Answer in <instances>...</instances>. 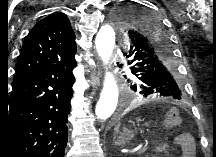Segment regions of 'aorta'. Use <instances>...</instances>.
<instances>
[{"mask_svg":"<svg viewBox=\"0 0 216 157\" xmlns=\"http://www.w3.org/2000/svg\"><path fill=\"white\" fill-rule=\"evenodd\" d=\"M96 50L103 63L109 66L110 57L115 46V32L110 25L102 26L95 40ZM119 98L117 83L113 74L106 71L103 89L95 107V115L100 120H106L115 112Z\"/></svg>","mask_w":216,"mask_h":157,"instance_id":"aorta-1","label":"aorta"}]
</instances>
